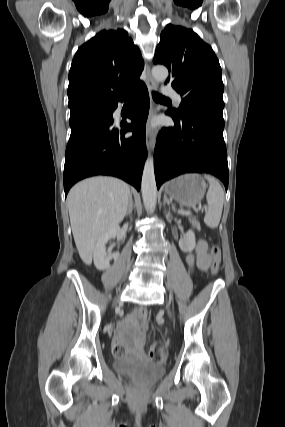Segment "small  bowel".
I'll return each mask as SVG.
<instances>
[{"instance_id":"small-bowel-1","label":"small bowel","mask_w":285,"mask_h":427,"mask_svg":"<svg viewBox=\"0 0 285 427\" xmlns=\"http://www.w3.org/2000/svg\"><path fill=\"white\" fill-rule=\"evenodd\" d=\"M208 246L205 240L200 239L196 243L195 252L189 254L186 262L192 272L195 268L207 270L211 265V256L207 252ZM146 314L144 307H139L130 312L118 327V341L126 348L125 358L128 360L146 359V337L142 332L146 329Z\"/></svg>"}]
</instances>
